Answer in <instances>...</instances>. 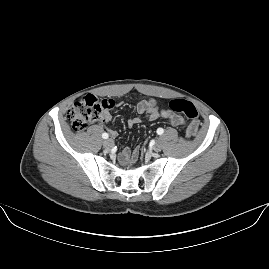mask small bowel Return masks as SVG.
<instances>
[{
    "instance_id": "small-bowel-1",
    "label": "small bowel",
    "mask_w": 269,
    "mask_h": 269,
    "mask_svg": "<svg viewBox=\"0 0 269 269\" xmlns=\"http://www.w3.org/2000/svg\"><path fill=\"white\" fill-rule=\"evenodd\" d=\"M137 111L140 114L145 115V117L150 120L162 119L168 121L172 126L178 127L184 123V120L181 116L172 114L169 110L160 108L154 99L142 100L137 105ZM112 114L110 111L106 110L103 112L99 125L108 129L112 136H116L117 132L115 130L109 129L107 126L112 121ZM142 122V119L139 117H131L128 120L129 126H134ZM134 152L131 154V151L128 148L121 150L119 155V160L124 164L125 169L130 170L135 168L138 164V153L142 152L143 147L140 144L135 145ZM130 160V161H128Z\"/></svg>"
}]
</instances>
